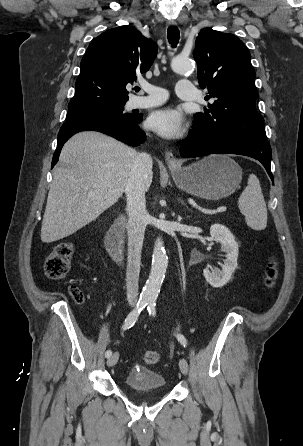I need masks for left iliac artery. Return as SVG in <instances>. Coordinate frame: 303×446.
<instances>
[{"instance_id": "left-iliac-artery-1", "label": "left iliac artery", "mask_w": 303, "mask_h": 446, "mask_svg": "<svg viewBox=\"0 0 303 446\" xmlns=\"http://www.w3.org/2000/svg\"><path fill=\"white\" fill-rule=\"evenodd\" d=\"M155 300L151 299L148 301V312L150 315L155 316L156 315V310H155ZM176 338L178 339V341L185 347L187 344L186 338L182 335V334H176Z\"/></svg>"}]
</instances>
